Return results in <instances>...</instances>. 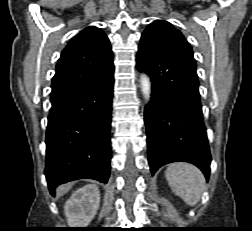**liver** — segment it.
<instances>
[{
	"label": "liver",
	"instance_id": "1",
	"mask_svg": "<svg viewBox=\"0 0 252 231\" xmlns=\"http://www.w3.org/2000/svg\"><path fill=\"white\" fill-rule=\"evenodd\" d=\"M67 189V187L63 188L62 190L65 191Z\"/></svg>",
	"mask_w": 252,
	"mask_h": 231
}]
</instances>
